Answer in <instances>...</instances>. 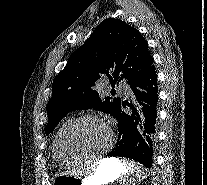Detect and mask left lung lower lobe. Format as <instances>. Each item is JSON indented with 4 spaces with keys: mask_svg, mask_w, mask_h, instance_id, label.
<instances>
[{
    "mask_svg": "<svg viewBox=\"0 0 207 185\" xmlns=\"http://www.w3.org/2000/svg\"><path fill=\"white\" fill-rule=\"evenodd\" d=\"M134 103L121 102L115 118L118 120V140L107 154L126 157L151 168L157 144L158 86L154 65L130 83Z\"/></svg>",
    "mask_w": 207,
    "mask_h": 185,
    "instance_id": "left-lung-lower-lobe-1",
    "label": "left lung lower lobe"
}]
</instances>
